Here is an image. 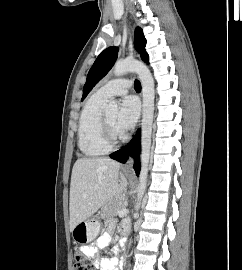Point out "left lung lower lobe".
Segmentation results:
<instances>
[{"label":"left lung lower lobe","mask_w":242,"mask_h":270,"mask_svg":"<svg viewBox=\"0 0 242 270\" xmlns=\"http://www.w3.org/2000/svg\"><path fill=\"white\" fill-rule=\"evenodd\" d=\"M139 136L140 131H137V134L132 139V141L129 143L128 146L110 154V157L121 162L125 163L128 160L129 156H132L134 158V169H136V174H139V152H140V146H139Z\"/></svg>","instance_id":"1"}]
</instances>
